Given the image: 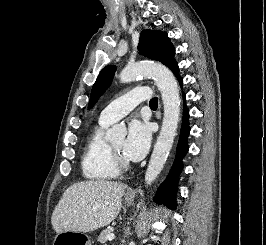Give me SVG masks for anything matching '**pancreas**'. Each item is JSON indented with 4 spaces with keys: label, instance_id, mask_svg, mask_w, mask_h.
<instances>
[{
    "label": "pancreas",
    "instance_id": "1",
    "mask_svg": "<svg viewBox=\"0 0 266 245\" xmlns=\"http://www.w3.org/2000/svg\"><path fill=\"white\" fill-rule=\"evenodd\" d=\"M113 233V229H105V231H101L97 241H99V243H107V235H112Z\"/></svg>",
    "mask_w": 266,
    "mask_h": 245
}]
</instances>
